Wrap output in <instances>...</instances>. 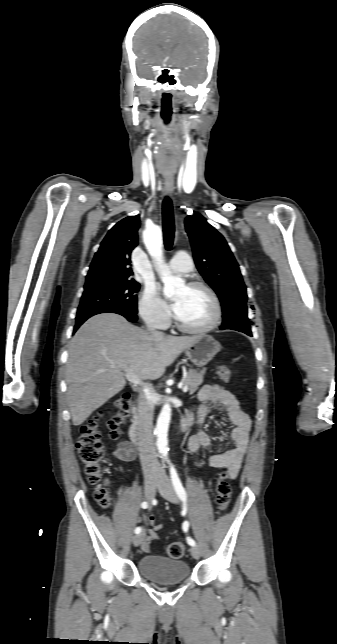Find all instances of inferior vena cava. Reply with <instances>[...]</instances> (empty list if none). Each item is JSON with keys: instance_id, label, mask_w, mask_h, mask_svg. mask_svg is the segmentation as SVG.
<instances>
[{"instance_id": "1", "label": "inferior vena cava", "mask_w": 337, "mask_h": 644, "mask_svg": "<svg viewBox=\"0 0 337 644\" xmlns=\"http://www.w3.org/2000/svg\"><path fill=\"white\" fill-rule=\"evenodd\" d=\"M148 330L157 337L163 334L147 324ZM151 386L143 389L139 400V422H138V449L144 474H162L164 471L156 459V449L153 439V414L154 403Z\"/></svg>"}]
</instances>
